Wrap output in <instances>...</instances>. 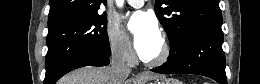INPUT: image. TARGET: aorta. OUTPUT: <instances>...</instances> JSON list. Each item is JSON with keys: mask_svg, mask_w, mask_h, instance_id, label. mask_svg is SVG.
<instances>
[{"mask_svg": "<svg viewBox=\"0 0 260 84\" xmlns=\"http://www.w3.org/2000/svg\"><path fill=\"white\" fill-rule=\"evenodd\" d=\"M117 5L122 6L123 5V0H117Z\"/></svg>", "mask_w": 260, "mask_h": 84, "instance_id": "obj_1", "label": "aorta"}]
</instances>
